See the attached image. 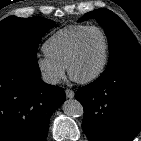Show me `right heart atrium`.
<instances>
[{"instance_id":"d8ad5b80","label":"right heart atrium","mask_w":141,"mask_h":141,"mask_svg":"<svg viewBox=\"0 0 141 141\" xmlns=\"http://www.w3.org/2000/svg\"><path fill=\"white\" fill-rule=\"evenodd\" d=\"M36 66L42 79L50 85L58 84L65 76V67L47 55L39 56L36 60Z\"/></svg>"}]
</instances>
